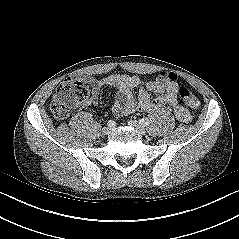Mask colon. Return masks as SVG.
I'll return each instance as SVG.
<instances>
[{
    "mask_svg": "<svg viewBox=\"0 0 239 239\" xmlns=\"http://www.w3.org/2000/svg\"><path fill=\"white\" fill-rule=\"evenodd\" d=\"M170 80H175L176 76L172 73L167 74ZM181 101L190 108H197L199 100L197 96L185 87L178 89ZM89 90L87 85L79 80L68 78L60 83L54 92L50 104L54 117L58 120L67 118L71 110L82 104L88 97Z\"/></svg>",
    "mask_w": 239,
    "mask_h": 239,
    "instance_id": "colon-1",
    "label": "colon"
}]
</instances>
